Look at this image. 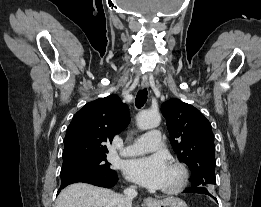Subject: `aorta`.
I'll use <instances>...</instances> for the list:
<instances>
[{
	"instance_id": "1",
	"label": "aorta",
	"mask_w": 261,
	"mask_h": 207,
	"mask_svg": "<svg viewBox=\"0 0 261 207\" xmlns=\"http://www.w3.org/2000/svg\"><path fill=\"white\" fill-rule=\"evenodd\" d=\"M136 122L140 130L156 128L161 122V116L158 112L143 111L137 115Z\"/></svg>"
}]
</instances>
